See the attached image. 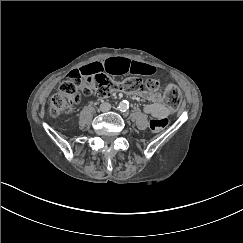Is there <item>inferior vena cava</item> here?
<instances>
[{"instance_id": "inferior-vena-cava-1", "label": "inferior vena cava", "mask_w": 243, "mask_h": 243, "mask_svg": "<svg viewBox=\"0 0 243 243\" xmlns=\"http://www.w3.org/2000/svg\"><path fill=\"white\" fill-rule=\"evenodd\" d=\"M99 110L101 112H108L110 110V105L109 104H101L99 107Z\"/></svg>"}]
</instances>
